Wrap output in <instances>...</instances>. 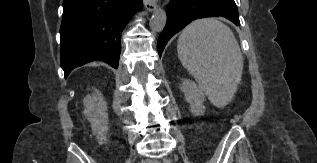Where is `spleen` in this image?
<instances>
[{
    "label": "spleen",
    "instance_id": "spleen-1",
    "mask_svg": "<svg viewBox=\"0 0 317 163\" xmlns=\"http://www.w3.org/2000/svg\"><path fill=\"white\" fill-rule=\"evenodd\" d=\"M177 53L214 106L222 108L232 100L241 81L243 57L227 25L214 18L192 22L180 34Z\"/></svg>",
    "mask_w": 317,
    "mask_h": 163
}]
</instances>
